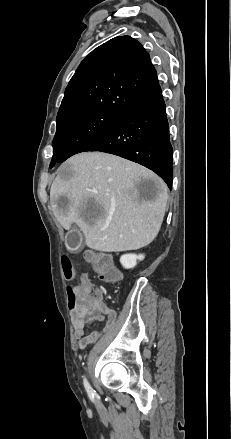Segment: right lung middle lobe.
<instances>
[{
  "mask_svg": "<svg viewBox=\"0 0 231 439\" xmlns=\"http://www.w3.org/2000/svg\"><path fill=\"white\" fill-rule=\"evenodd\" d=\"M122 116V114L104 110H88L57 118L50 168L56 163L64 162L74 154L83 152Z\"/></svg>",
  "mask_w": 231,
  "mask_h": 439,
  "instance_id": "1",
  "label": "right lung middle lobe"
}]
</instances>
